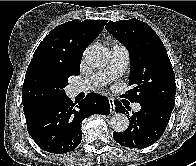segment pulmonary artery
I'll use <instances>...</instances> for the list:
<instances>
[{
  "label": "pulmonary artery",
  "mask_w": 196,
  "mask_h": 166,
  "mask_svg": "<svg viewBox=\"0 0 196 166\" xmlns=\"http://www.w3.org/2000/svg\"><path fill=\"white\" fill-rule=\"evenodd\" d=\"M128 61V50L120 44H115L112 47L111 59L108 66L103 71L74 83L71 86L72 92L78 94L80 92L96 89L109 83L111 80L121 76L125 72L128 66ZM140 108L141 106L138 103L133 105L134 111H139Z\"/></svg>",
  "instance_id": "pulmonary-artery-1"
}]
</instances>
